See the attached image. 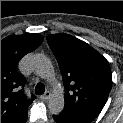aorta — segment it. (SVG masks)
I'll list each match as a JSON object with an SVG mask.
<instances>
[{"mask_svg":"<svg viewBox=\"0 0 123 123\" xmlns=\"http://www.w3.org/2000/svg\"><path fill=\"white\" fill-rule=\"evenodd\" d=\"M32 67L38 76L53 84V93L48 101L49 111L56 115L61 113L65 106L63 88L60 83L55 82L54 68L50 59L44 54H36L32 60Z\"/></svg>","mask_w":123,"mask_h":123,"instance_id":"1","label":"aorta"}]
</instances>
